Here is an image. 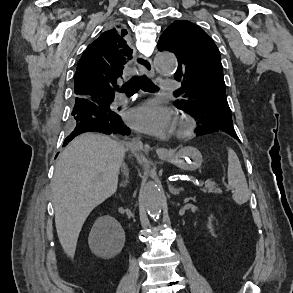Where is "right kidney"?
Returning a JSON list of instances; mask_svg holds the SVG:
<instances>
[{
  "instance_id": "right-kidney-1",
  "label": "right kidney",
  "mask_w": 293,
  "mask_h": 293,
  "mask_svg": "<svg viewBox=\"0 0 293 293\" xmlns=\"http://www.w3.org/2000/svg\"><path fill=\"white\" fill-rule=\"evenodd\" d=\"M107 221L113 222L117 226V232L114 231L113 228L108 227L107 229V237L105 241H103L102 246L104 249L108 250L111 255L118 254L125 242L124 231L122 230L119 223L112 217H108Z\"/></svg>"
}]
</instances>
